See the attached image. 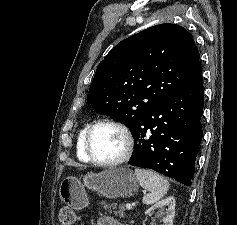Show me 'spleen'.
<instances>
[{
  "label": "spleen",
  "instance_id": "obj_1",
  "mask_svg": "<svg viewBox=\"0 0 237 225\" xmlns=\"http://www.w3.org/2000/svg\"><path fill=\"white\" fill-rule=\"evenodd\" d=\"M135 175L140 185L149 191L142 199L146 205L158 202L169 189V182L156 172L136 168Z\"/></svg>",
  "mask_w": 237,
  "mask_h": 225
}]
</instances>
